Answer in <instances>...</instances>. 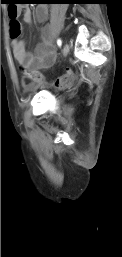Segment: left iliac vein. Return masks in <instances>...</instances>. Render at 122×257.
<instances>
[{
	"instance_id": "4c4485c4",
	"label": "left iliac vein",
	"mask_w": 122,
	"mask_h": 257,
	"mask_svg": "<svg viewBox=\"0 0 122 257\" xmlns=\"http://www.w3.org/2000/svg\"><path fill=\"white\" fill-rule=\"evenodd\" d=\"M69 51H70V46H69V44H65V45H64V48H63V56H67L68 53H69Z\"/></svg>"
}]
</instances>
